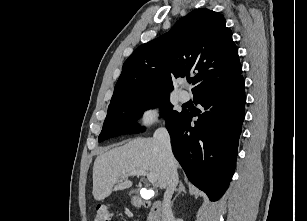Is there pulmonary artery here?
<instances>
[{"mask_svg": "<svg viewBox=\"0 0 307 221\" xmlns=\"http://www.w3.org/2000/svg\"><path fill=\"white\" fill-rule=\"evenodd\" d=\"M189 98H190V94L187 91L185 90L180 91L179 99L181 102H187Z\"/></svg>", "mask_w": 307, "mask_h": 221, "instance_id": "e3ab8cb5", "label": "pulmonary artery"}]
</instances>
